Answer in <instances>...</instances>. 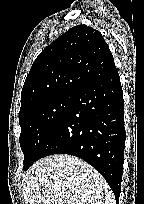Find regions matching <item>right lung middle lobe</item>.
Masks as SVG:
<instances>
[{
  "label": "right lung middle lobe",
  "instance_id": "dd1d6c3e",
  "mask_svg": "<svg viewBox=\"0 0 144 204\" xmlns=\"http://www.w3.org/2000/svg\"><path fill=\"white\" fill-rule=\"evenodd\" d=\"M75 94L61 93L42 100L19 113V142L24 154L23 170L39 159L43 145L72 104Z\"/></svg>",
  "mask_w": 144,
  "mask_h": 204
}]
</instances>
